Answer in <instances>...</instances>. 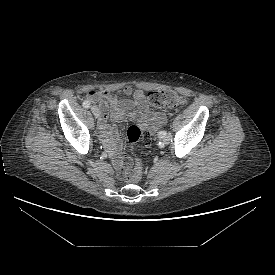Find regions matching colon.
I'll return each mask as SVG.
<instances>
[{"label": "colon", "mask_w": 275, "mask_h": 275, "mask_svg": "<svg viewBox=\"0 0 275 275\" xmlns=\"http://www.w3.org/2000/svg\"><path fill=\"white\" fill-rule=\"evenodd\" d=\"M147 100L152 106L157 108L179 107L184 105L186 101L184 96L173 90L151 91L148 93ZM126 134L132 149L135 148L143 134L145 137L146 144L149 145L151 143L150 134L143 132V130L138 125L130 126L127 129ZM124 172L125 178L129 182L139 181L142 176L140 159H135L133 167H131V162L130 160H128Z\"/></svg>", "instance_id": "obj_1"}]
</instances>
